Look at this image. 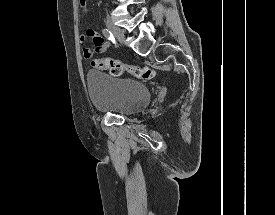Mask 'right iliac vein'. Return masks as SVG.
<instances>
[{
	"mask_svg": "<svg viewBox=\"0 0 275 215\" xmlns=\"http://www.w3.org/2000/svg\"><path fill=\"white\" fill-rule=\"evenodd\" d=\"M105 22H106L107 27L114 34V36L117 38V40L120 43H123L125 40L124 32L119 27L114 25V23L109 18H107L105 20Z\"/></svg>",
	"mask_w": 275,
	"mask_h": 215,
	"instance_id": "obj_1",
	"label": "right iliac vein"
}]
</instances>
